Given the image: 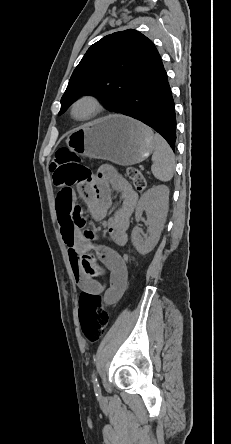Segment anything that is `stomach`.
<instances>
[{
  "instance_id": "0dacf381",
  "label": "stomach",
  "mask_w": 231,
  "mask_h": 444,
  "mask_svg": "<svg viewBox=\"0 0 231 444\" xmlns=\"http://www.w3.org/2000/svg\"><path fill=\"white\" fill-rule=\"evenodd\" d=\"M67 146L76 154L130 166L145 160L154 150V134L141 122L110 115L72 131Z\"/></svg>"
}]
</instances>
